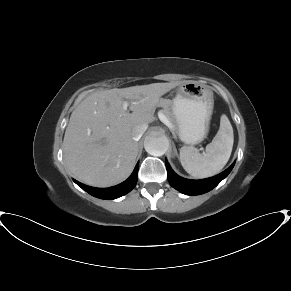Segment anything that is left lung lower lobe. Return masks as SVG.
<instances>
[{
    "label": "left lung lower lobe",
    "instance_id": "0a47b994",
    "mask_svg": "<svg viewBox=\"0 0 291 291\" xmlns=\"http://www.w3.org/2000/svg\"><path fill=\"white\" fill-rule=\"evenodd\" d=\"M167 169V178L170 185L178 191L186 195H199L206 193L216 187L234 167V163L224 172L217 176L203 179V180H189L178 176L170 167L167 160H165Z\"/></svg>",
    "mask_w": 291,
    "mask_h": 291
}]
</instances>
